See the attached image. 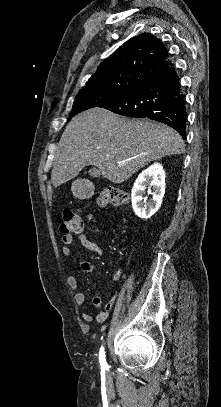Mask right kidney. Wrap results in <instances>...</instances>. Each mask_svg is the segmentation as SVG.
Listing matches in <instances>:
<instances>
[{"instance_id":"right-kidney-1","label":"right kidney","mask_w":221,"mask_h":407,"mask_svg":"<svg viewBox=\"0 0 221 407\" xmlns=\"http://www.w3.org/2000/svg\"><path fill=\"white\" fill-rule=\"evenodd\" d=\"M152 198L147 200L145 190ZM151 188L153 191H151ZM165 194V171L160 163H154L137 177L132 188V208L142 219H148L155 214L162 204Z\"/></svg>"}]
</instances>
